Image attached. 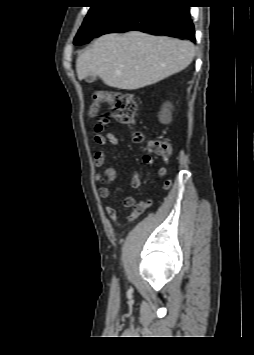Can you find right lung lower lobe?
Returning a JSON list of instances; mask_svg holds the SVG:
<instances>
[{
    "mask_svg": "<svg viewBox=\"0 0 254 355\" xmlns=\"http://www.w3.org/2000/svg\"><path fill=\"white\" fill-rule=\"evenodd\" d=\"M186 0H134L120 4L94 37L107 33L141 31L195 41L194 25ZM93 37V38H94ZM74 40V44L88 43Z\"/></svg>",
    "mask_w": 254,
    "mask_h": 355,
    "instance_id": "obj_1",
    "label": "right lung lower lobe"
}]
</instances>
